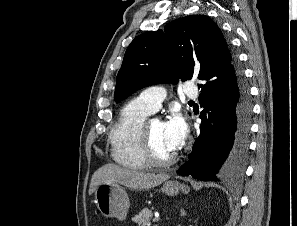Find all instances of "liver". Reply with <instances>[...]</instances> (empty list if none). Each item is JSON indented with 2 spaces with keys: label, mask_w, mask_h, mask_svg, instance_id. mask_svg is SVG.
<instances>
[{
  "label": "liver",
  "mask_w": 297,
  "mask_h": 226,
  "mask_svg": "<svg viewBox=\"0 0 297 226\" xmlns=\"http://www.w3.org/2000/svg\"><path fill=\"white\" fill-rule=\"evenodd\" d=\"M168 178L169 176L166 174L144 173L109 163L94 172L89 187V195L103 183H118L131 189L144 190L156 187Z\"/></svg>",
  "instance_id": "1"
}]
</instances>
